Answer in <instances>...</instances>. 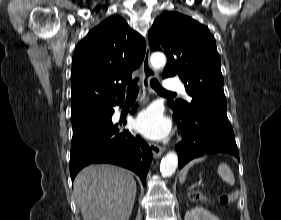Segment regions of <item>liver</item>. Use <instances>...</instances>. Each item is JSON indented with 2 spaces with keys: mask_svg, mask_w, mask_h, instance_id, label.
Returning a JSON list of instances; mask_svg holds the SVG:
<instances>
[{
  "mask_svg": "<svg viewBox=\"0 0 281 220\" xmlns=\"http://www.w3.org/2000/svg\"><path fill=\"white\" fill-rule=\"evenodd\" d=\"M83 220H128L136 196L130 171L114 165H89L74 180Z\"/></svg>",
  "mask_w": 281,
  "mask_h": 220,
  "instance_id": "obj_1",
  "label": "liver"
}]
</instances>
